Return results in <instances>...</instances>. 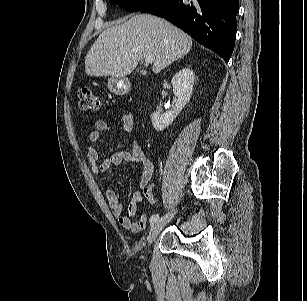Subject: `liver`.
Here are the masks:
<instances>
[{
    "label": "liver",
    "instance_id": "6515ba94",
    "mask_svg": "<svg viewBox=\"0 0 307 301\" xmlns=\"http://www.w3.org/2000/svg\"><path fill=\"white\" fill-rule=\"evenodd\" d=\"M191 47V37L168 21L136 15L99 35L86 55L85 71L89 76L124 77L140 60L151 57L157 74Z\"/></svg>",
    "mask_w": 307,
    "mask_h": 301
}]
</instances>
